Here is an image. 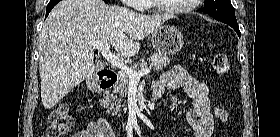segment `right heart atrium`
Masks as SVG:
<instances>
[{"mask_svg":"<svg viewBox=\"0 0 280 137\" xmlns=\"http://www.w3.org/2000/svg\"><path fill=\"white\" fill-rule=\"evenodd\" d=\"M144 2V0H130L129 4L136 9H140V5Z\"/></svg>","mask_w":280,"mask_h":137,"instance_id":"1","label":"right heart atrium"}]
</instances>
